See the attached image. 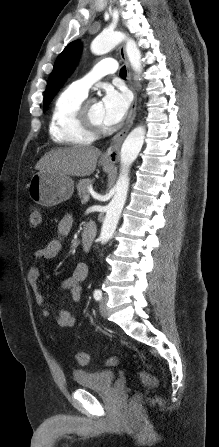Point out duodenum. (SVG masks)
I'll return each mask as SVG.
<instances>
[{
  "label": "duodenum",
  "instance_id": "duodenum-1",
  "mask_svg": "<svg viewBox=\"0 0 219 447\" xmlns=\"http://www.w3.org/2000/svg\"><path fill=\"white\" fill-rule=\"evenodd\" d=\"M96 232L93 222H87L81 234V245L84 252L89 251Z\"/></svg>",
  "mask_w": 219,
  "mask_h": 447
}]
</instances>
